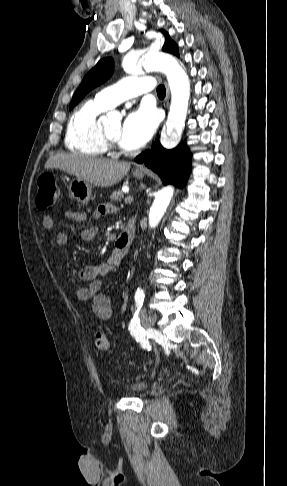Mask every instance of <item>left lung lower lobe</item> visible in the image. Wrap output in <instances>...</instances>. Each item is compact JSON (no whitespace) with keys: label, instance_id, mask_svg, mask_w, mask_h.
<instances>
[{"label":"left lung lower lobe","instance_id":"1","mask_svg":"<svg viewBox=\"0 0 287 486\" xmlns=\"http://www.w3.org/2000/svg\"><path fill=\"white\" fill-rule=\"evenodd\" d=\"M137 163H144L156 172L166 184L183 187L189 177L191 169V153L182 143L172 150H167L156 141L150 150L135 158Z\"/></svg>","mask_w":287,"mask_h":486}]
</instances>
